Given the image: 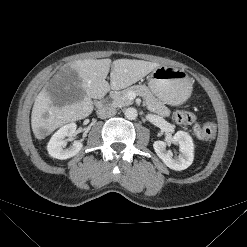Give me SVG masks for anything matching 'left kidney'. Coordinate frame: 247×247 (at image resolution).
Here are the masks:
<instances>
[{"mask_svg": "<svg viewBox=\"0 0 247 247\" xmlns=\"http://www.w3.org/2000/svg\"><path fill=\"white\" fill-rule=\"evenodd\" d=\"M174 143L179 144L180 154L173 158L172 152L166 150L169 142L155 141L153 148L157 156L164 162L170 169L181 171L188 168L194 159V144L191 136L184 132L178 131L172 138Z\"/></svg>", "mask_w": 247, "mask_h": 247, "instance_id": "left-kidney-1", "label": "left kidney"}]
</instances>
